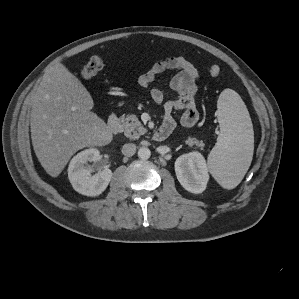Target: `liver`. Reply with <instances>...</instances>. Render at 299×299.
Listing matches in <instances>:
<instances>
[{
  "mask_svg": "<svg viewBox=\"0 0 299 299\" xmlns=\"http://www.w3.org/2000/svg\"><path fill=\"white\" fill-rule=\"evenodd\" d=\"M93 106L90 93L63 64L44 74L33 98L30 128L34 152L50 176H59L78 150L112 141L110 127L91 111Z\"/></svg>",
  "mask_w": 299,
  "mask_h": 299,
  "instance_id": "liver-1",
  "label": "liver"
}]
</instances>
